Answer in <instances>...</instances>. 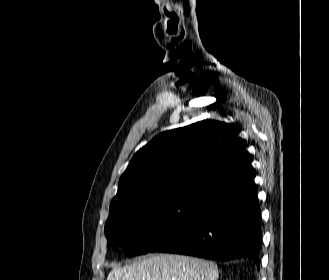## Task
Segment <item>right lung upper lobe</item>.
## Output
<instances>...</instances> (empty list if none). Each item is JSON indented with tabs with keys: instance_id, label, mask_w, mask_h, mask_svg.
<instances>
[{
	"instance_id": "1",
	"label": "right lung upper lobe",
	"mask_w": 329,
	"mask_h": 280,
	"mask_svg": "<svg viewBox=\"0 0 329 280\" xmlns=\"http://www.w3.org/2000/svg\"><path fill=\"white\" fill-rule=\"evenodd\" d=\"M250 154L224 122L203 120L154 137L132 158L111 205L156 197H201Z\"/></svg>"
}]
</instances>
